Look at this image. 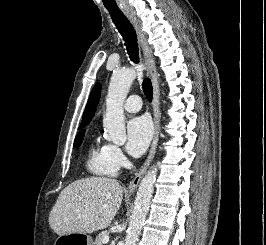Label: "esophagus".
I'll list each match as a JSON object with an SVG mask.
<instances>
[{
  "label": "esophagus",
  "mask_w": 266,
  "mask_h": 245,
  "mask_svg": "<svg viewBox=\"0 0 266 245\" xmlns=\"http://www.w3.org/2000/svg\"><path fill=\"white\" fill-rule=\"evenodd\" d=\"M125 15L127 16V18L130 20V22L135 27V30L137 32V35H138V38L140 41V45L142 48V52L144 55V60L146 62V65H147V68H148V71H149V74L151 77L152 86H153V118H154V124H155V135H154V139H153V142L151 144L147 159L144 162V165L139 170V172L136 173L135 177L130 182L129 187H128V193L132 194L135 191V189L138 187V184L140 183L141 178L143 177L144 173L146 172L147 168L149 167V165H150V163H151V161L155 155L156 148L158 145V140H159L161 113H160V108H159V105H160V102H159V94H160L159 83H158L157 70H156L154 57L152 55V51L149 48L148 43H147L146 38H145V35L142 32V30L140 29L135 18L129 12H126Z\"/></svg>",
  "instance_id": "obj_1"
}]
</instances>
